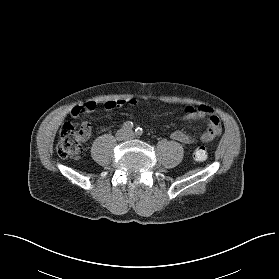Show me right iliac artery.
<instances>
[{"label": "right iliac artery", "mask_w": 279, "mask_h": 279, "mask_svg": "<svg viewBox=\"0 0 279 279\" xmlns=\"http://www.w3.org/2000/svg\"><path fill=\"white\" fill-rule=\"evenodd\" d=\"M122 127L125 131H131L133 128V123L130 121H126V122H124Z\"/></svg>", "instance_id": "82829eb1"}]
</instances>
